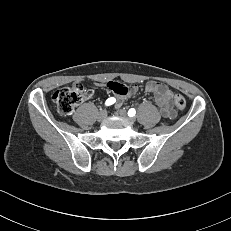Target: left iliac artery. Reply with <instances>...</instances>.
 Masks as SVG:
<instances>
[{"mask_svg":"<svg viewBox=\"0 0 231 231\" xmlns=\"http://www.w3.org/2000/svg\"><path fill=\"white\" fill-rule=\"evenodd\" d=\"M135 113H136V110H135L134 108H131V109L128 111V115H129L130 117H133V116L135 115Z\"/></svg>","mask_w":231,"mask_h":231,"instance_id":"1","label":"left iliac artery"}]
</instances>
